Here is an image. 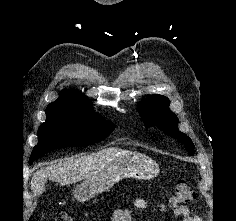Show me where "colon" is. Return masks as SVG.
<instances>
[{
    "instance_id": "1",
    "label": "colon",
    "mask_w": 236,
    "mask_h": 221,
    "mask_svg": "<svg viewBox=\"0 0 236 221\" xmlns=\"http://www.w3.org/2000/svg\"><path fill=\"white\" fill-rule=\"evenodd\" d=\"M196 199L194 188L185 180H178L174 185V193L170 198V206L177 208L185 206ZM55 221H74V219L65 212L57 214Z\"/></svg>"
}]
</instances>
